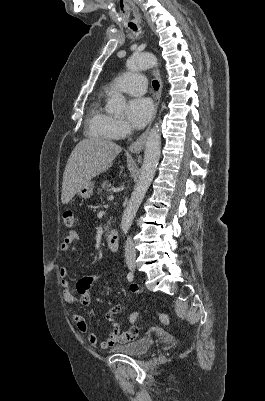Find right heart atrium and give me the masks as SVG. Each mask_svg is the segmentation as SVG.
Here are the masks:
<instances>
[{
	"mask_svg": "<svg viewBox=\"0 0 265 401\" xmlns=\"http://www.w3.org/2000/svg\"><path fill=\"white\" fill-rule=\"evenodd\" d=\"M112 129L115 136L119 138L127 136L130 132L128 124L122 120H114L112 122Z\"/></svg>",
	"mask_w": 265,
	"mask_h": 401,
	"instance_id": "obj_1",
	"label": "right heart atrium"
}]
</instances>
